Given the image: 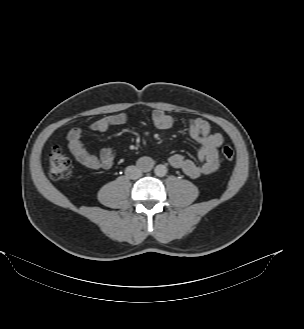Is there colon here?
Returning a JSON list of instances; mask_svg holds the SVG:
<instances>
[{
	"label": "colon",
	"instance_id": "5ec220e1",
	"mask_svg": "<svg viewBox=\"0 0 304 329\" xmlns=\"http://www.w3.org/2000/svg\"><path fill=\"white\" fill-rule=\"evenodd\" d=\"M221 154L227 161H231L234 158V150L230 145H223ZM49 175L55 181L68 179L72 175L71 160L58 146L52 148L50 152Z\"/></svg>",
	"mask_w": 304,
	"mask_h": 329
}]
</instances>
